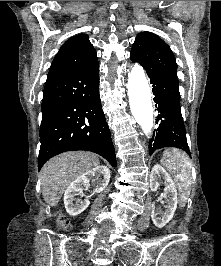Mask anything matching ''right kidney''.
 Returning <instances> with one entry per match:
<instances>
[{
  "instance_id": "obj_1",
  "label": "right kidney",
  "mask_w": 221,
  "mask_h": 266,
  "mask_svg": "<svg viewBox=\"0 0 221 266\" xmlns=\"http://www.w3.org/2000/svg\"><path fill=\"white\" fill-rule=\"evenodd\" d=\"M95 178V179H94ZM97 182L94 192H102L108 185L110 181V169L104 165H99L92 170H89L77 177L66 189L64 194V205L66 211L72 215L76 216L83 212L90 204L87 196L85 200L76 199L75 196L83 195L82 191L84 187L89 186L90 181Z\"/></svg>"
}]
</instances>
